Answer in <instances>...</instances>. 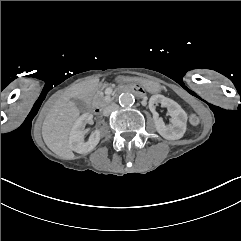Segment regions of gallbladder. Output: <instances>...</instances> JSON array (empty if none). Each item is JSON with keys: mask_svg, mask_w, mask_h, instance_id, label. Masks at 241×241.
Instances as JSON below:
<instances>
[{"mask_svg": "<svg viewBox=\"0 0 241 241\" xmlns=\"http://www.w3.org/2000/svg\"><path fill=\"white\" fill-rule=\"evenodd\" d=\"M74 101H75V103L78 105L79 109H81V110H86V109H87V104H86L85 101H83V100H78V99H76V100H74Z\"/></svg>", "mask_w": 241, "mask_h": 241, "instance_id": "gallbladder-1", "label": "gallbladder"}]
</instances>
